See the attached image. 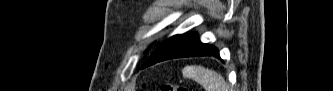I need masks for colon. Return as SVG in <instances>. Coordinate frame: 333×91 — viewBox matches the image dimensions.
I'll use <instances>...</instances> for the list:
<instances>
[{
	"label": "colon",
	"instance_id": "colon-1",
	"mask_svg": "<svg viewBox=\"0 0 333 91\" xmlns=\"http://www.w3.org/2000/svg\"><path fill=\"white\" fill-rule=\"evenodd\" d=\"M163 91H187V89L178 84L166 83L162 86Z\"/></svg>",
	"mask_w": 333,
	"mask_h": 91
}]
</instances>
